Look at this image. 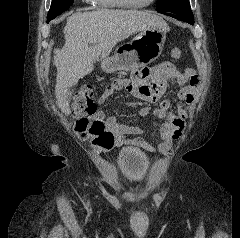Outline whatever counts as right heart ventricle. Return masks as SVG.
<instances>
[{
  "label": "right heart ventricle",
  "mask_w": 240,
  "mask_h": 238,
  "mask_svg": "<svg viewBox=\"0 0 240 238\" xmlns=\"http://www.w3.org/2000/svg\"><path fill=\"white\" fill-rule=\"evenodd\" d=\"M95 3L105 8H121L122 6L118 0H94Z\"/></svg>",
  "instance_id": "obj_1"
}]
</instances>
